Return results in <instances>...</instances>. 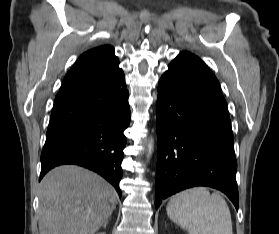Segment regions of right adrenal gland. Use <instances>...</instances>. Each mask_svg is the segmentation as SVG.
Segmentation results:
<instances>
[{
    "label": "right adrenal gland",
    "instance_id": "obj_1",
    "mask_svg": "<svg viewBox=\"0 0 279 234\" xmlns=\"http://www.w3.org/2000/svg\"><path fill=\"white\" fill-rule=\"evenodd\" d=\"M106 225H107V222H105L104 227H106Z\"/></svg>",
    "mask_w": 279,
    "mask_h": 234
}]
</instances>
